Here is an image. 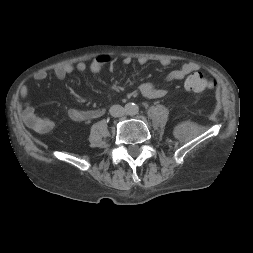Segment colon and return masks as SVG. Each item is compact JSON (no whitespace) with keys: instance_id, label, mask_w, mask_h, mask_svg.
<instances>
[{"instance_id":"obj_1","label":"colon","mask_w":253,"mask_h":253,"mask_svg":"<svg viewBox=\"0 0 253 253\" xmlns=\"http://www.w3.org/2000/svg\"><path fill=\"white\" fill-rule=\"evenodd\" d=\"M216 83L210 80L200 72H195L188 75L185 79L184 86L187 90L193 92H203L211 90Z\"/></svg>"}]
</instances>
